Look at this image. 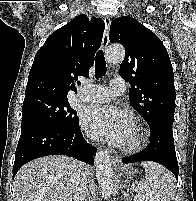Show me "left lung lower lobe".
<instances>
[{
    "mask_svg": "<svg viewBox=\"0 0 196 201\" xmlns=\"http://www.w3.org/2000/svg\"><path fill=\"white\" fill-rule=\"evenodd\" d=\"M154 161L169 169L178 179V162L175 153L172 125L151 128V140L147 149L122 159L123 163Z\"/></svg>",
    "mask_w": 196,
    "mask_h": 201,
    "instance_id": "left-lung-lower-lobe-1",
    "label": "left lung lower lobe"
}]
</instances>
